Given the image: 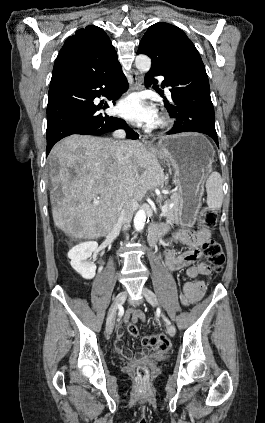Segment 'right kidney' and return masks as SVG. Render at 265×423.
Returning a JSON list of instances; mask_svg holds the SVG:
<instances>
[{"instance_id": "ca27d5eb", "label": "right kidney", "mask_w": 265, "mask_h": 423, "mask_svg": "<svg viewBox=\"0 0 265 423\" xmlns=\"http://www.w3.org/2000/svg\"><path fill=\"white\" fill-rule=\"evenodd\" d=\"M98 249L96 241H87L74 246L69 252L68 257L71 259L72 268L80 274L84 279H92L96 274V265L87 261L93 252ZM102 267L99 268V272Z\"/></svg>"}]
</instances>
